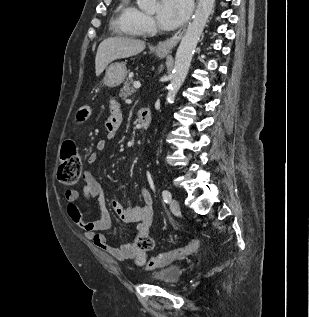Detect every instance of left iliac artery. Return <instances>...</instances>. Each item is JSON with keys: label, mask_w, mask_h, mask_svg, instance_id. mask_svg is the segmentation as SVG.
<instances>
[{"label": "left iliac artery", "mask_w": 309, "mask_h": 317, "mask_svg": "<svg viewBox=\"0 0 309 317\" xmlns=\"http://www.w3.org/2000/svg\"><path fill=\"white\" fill-rule=\"evenodd\" d=\"M162 197L165 203H168L171 200V193L168 190L162 192Z\"/></svg>", "instance_id": "44dca946"}]
</instances>
